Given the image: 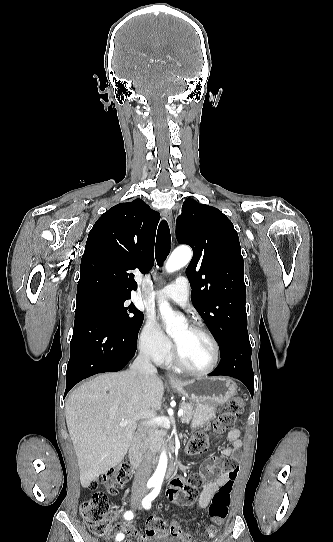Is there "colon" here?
Returning <instances> with one entry per match:
<instances>
[{"instance_id": "colon-1", "label": "colon", "mask_w": 333, "mask_h": 542, "mask_svg": "<svg viewBox=\"0 0 333 542\" xmlns=\"http://www.w3.org/2000/svg\"><path fill=\"white\" fill-rule=\"evenodd\" d=\"M243 409V401L241 398L232 399L227 408L213 422L211 433L196 432L188 440L186 452L189 455H201L208 450L209 439L212 435H221L229 432L234 427L235 422ZM211 469H215V465H210ZM223 472L227 474L231 480L223 484L213 496L212 502L209 505L208 513L211 523L207 526V530L212 535H217L220 526L225 522L230 505V497L233 489L232 480L238 476L239 463L233 458H226L222 464ZM131 474V466L113 467L108 470L107 474H103L100 478L91 482L92 486H102L106 488L110 495H117L120 487L125 484ZM205 483V475L203 473H195L190 476V486L192 488L202 487ZM108 509L109 505L105 494H96L82 502L80 506V514L88 526L90 531L97 535L103 536L109 530L108 525ZM166 522L159 516L152 515L146 521L145 535L148 538L156 537L159 540L166 538ZM171 536L180 540H187L188 536L183 532L181 527H173Z\"/></svg>"}]
</instances>
